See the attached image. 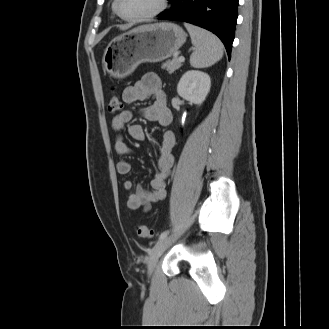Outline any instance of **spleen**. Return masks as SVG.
Masks as SVG:
<instances>
[{
	"label": "spleen",
	"instance_id": "spleen-1",
	"mask_svg": "<svg viewBox=\"0 0 329 329\" xmlns=\"http://www.w3.org/2000/svg\"><path fill=\"white\" fill-rule=\"evenodd\" d=\"M192 44L196 47L190 56V64L194 68L212 66L223 57V44L214 34L197 26L185 23Z\"/></svg>",
	"mask_w": 329,
	"mask_h": 329
}]
</instances>
